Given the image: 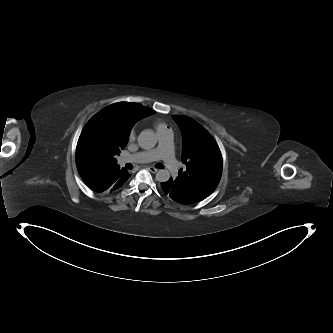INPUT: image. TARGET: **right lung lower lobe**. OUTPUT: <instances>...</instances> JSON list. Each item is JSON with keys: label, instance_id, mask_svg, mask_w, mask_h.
Here are the masks:
<instances>
[{"label": "right lung lower lobe", "instance_id": "1", "mask_svg": "<svg viewBox=\"0 0 333 333\" xmlns=\"http://www.w3.org/2000/svg\"><path fill=\"white\" fill-rule=\"evenodd\" d=\"M83 181L97 193H109L121 188L130 177L126 169H116L100 175L97 171L79 172Z\"/></svg>", "mask_w": 333, "mask_h": 333}]
</instances>
